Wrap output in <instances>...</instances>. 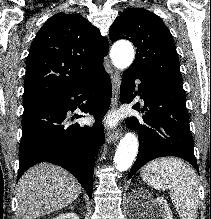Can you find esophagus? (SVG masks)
<instances>
[{
    "instance_id": "34e87169",
    "label": "esophagus",
    "mask_w": 211,
    "mask_h": 219,
    "mask_svg": "<svg viewBox=\"0 0 211 219\" xmlns=\"http://www.w3.org/2000/svg\"><path fill=\"white\" fill-rule=\"evenodd\" d=\"M111 82H112V100L111 107L112 109H116L118 107V96L120 90V76L118 72H113L111 74ZM122 132L119 128H115L108 132L107 142L115 143L121 137Z\"/></svg>"
}]
</instances>
